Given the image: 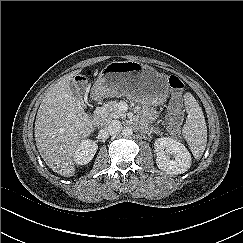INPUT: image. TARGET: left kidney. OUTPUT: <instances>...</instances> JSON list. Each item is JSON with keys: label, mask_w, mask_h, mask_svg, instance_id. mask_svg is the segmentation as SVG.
Wrapping results in <instances>:
<instances>
[{"label": "left kidney", "mask_w": 243, "mask_h": 243, "mask_svg": "<svg viewBox=\"0 0 243 243\" xmlns=\"http://www.w3.org/2000/svg\"><path fill=\"white\" fill-rule=\"evenodd\" d=\"M154 145L157 152L156 164L162 171L177 175L190 168L191 155L182 143L170 137H161Z\"/></svg>", "instance_id": "obj_1"}]
</instances>
